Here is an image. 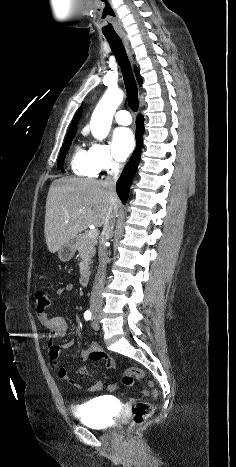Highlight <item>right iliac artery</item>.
Segmentation results:
<instances>
[{
	"instance_id": "right-iliac-artery-1",
	"label": "right iliac artery",
	"mask_w": 236,
	"mask_h": 467,
	"mask_svg": "<svg viewBox=\"0 0 236 467\" xmlns=\"http://www.w3.org/2000/svg\"><path fill=\"white\" fill-rule=\"evenodd\" d=\"M91 317H92V313H91L89 310H87V311L84 313V318H85V320H90Z\"/></svg>"
}]
</instances>
